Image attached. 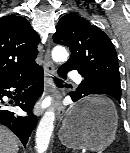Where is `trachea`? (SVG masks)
Returning <instances> with one entry per match:
<instances>
[{
  "label": "trachea",
  "instance_id": "obj_1",
  "mask_svg": "<svg viewBox=\"0 0 130 153\" xmlns=\"http://www.w3.org/2000/svg\"><path fill=\"white\" fill-rule=\"evenodd\" d=\"M55 83L57 84V86H62V82L58 79H54Z\"/></svg>",
  "mask_w": 130,
  "mask_h": 153
}]
</instances>
